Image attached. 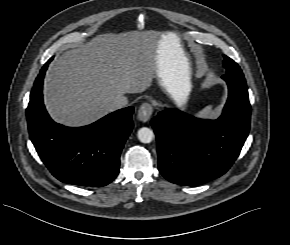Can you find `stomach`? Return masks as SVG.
Wrapping results in <instances>:
<instances>
[{
  "mask_svg": "<svg viewBox=\"0 0 290 245\" xmlns=\"http://www.w3.org/2000/svg\"><path fill=\"white\" fill-rule=\"evenodd\" d=\"M156 78L158 80V83L165 89L164 79H163V76H162V74L160 72L156 75ZM189 92H186L183 89L182 92L180 93V95L176 96V102H177L178 105L182 106V105H184L186 103L187 96H188Z\"/></svg>",
  "mask_w": 290,
  "mask_h": 245,
  "instance_id": "0dacf381",
  "label": "stomach"
}]
</instances>
